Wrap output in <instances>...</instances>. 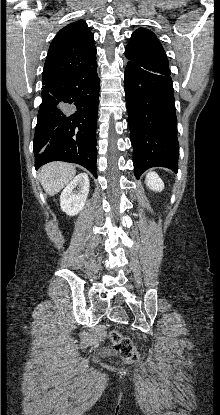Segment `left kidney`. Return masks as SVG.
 Wrapping results in <instances>:
<instances>
[{"mask_svg":"<svg viewBox=\"0 0 220 415\" xmlns=\"http://www.w3.org/2000/svg\"><path fill=\"white\" fill-rule=\"evenodd\" d=\"M145 183L149 189L161 192L164 189V183L155 172H149L146 175Z\"/></svg>","mask_w":220,"mask_h":415,"instance_id":"obj_1","label":"left kidney"}]
</instances>
